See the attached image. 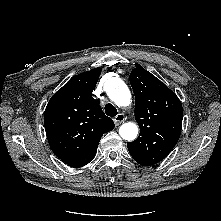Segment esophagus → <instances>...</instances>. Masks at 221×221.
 <instances>
[{
	"label": "esophagus",
	"instance_id": "obj_1",
	"mask_svg": "<svg viewBox=\"0 0 221 221\" xmlns=\"http://www.w3.org/2000/svg\"><path fill=\"white\" fill-rule=\"evenodd\" d=\"M124 120H125V116L122 113H119L113 119L116 126L120 125L122 122H124Z\"/></svg>",
	"mask_w": 221,
	"mask_h": 221
}]
</instances>
